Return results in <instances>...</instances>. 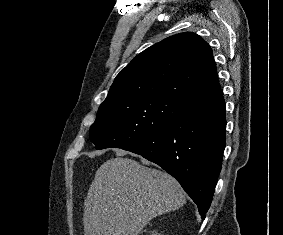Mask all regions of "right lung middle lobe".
I'll return each instance as SVG.
<instances>
[{
  "mask_svg": "<svg viewBox=\"0 0 283 235\" xmlns=\"http://www.w3.org/2000/svg\"><path fill=\"white\" fill-rule=\"evenodd\" d=\"M182 102L164 97H140L100 105L90 127L95 148H125L166 128L178 115Z\"/></svg>",
  "mask_w": 283,
  "mask_h": 235,
  "instance_id": "dd1d6c3e",
  "label": "right lung middle lobe"
}]
</instances>
